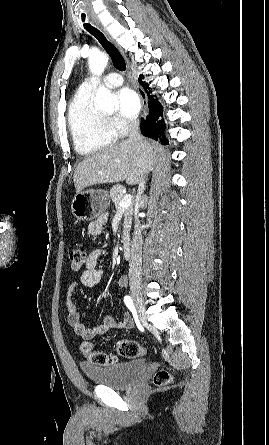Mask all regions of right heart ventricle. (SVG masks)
I'll return each mask as SVG.
<instances>
[{
  "mask_svg": "<svg viewBox=\"0 0 269 445\" xmlns=\"http://www.w3.org/2000/svg\"><path fill=\"white\" fill-rule=\"evenodd\" d=\"M94 91L80 86L68 108V127L76 152L93 155L112 145L117 135L109 120L93 106Z\"/></svg>",
  "mask_w": 269,
  "mask_h": 445,
  "instance_id": "e07e8e85",
  "label": "right heart ventricle"
}]
</instances>
